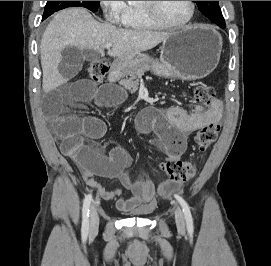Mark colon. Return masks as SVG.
Returning <instances> with one entry per match:
<instances>
[{
	"instance_id": "1",
	"label": "colon",
	"mask_w": 271,
	"mask_h": 266,
	"mask_svg": "<svg viewBox=\"0 0 271 266\" xmlns=\"http://www.w3.org/2000/svg\"><path fill=\"white\" fill-rule=\"evenodd\" d=\"M109 64L104 59L92 61L88 67L90 79L99 83L108 72ZM196 103L211 106L215 100V90L207 84H200L194 90ZM221 130L220 121H211L203 126L195 136L198 151L203 152L218 138ZM161 171L173 181H187L195 174V165L190 161L171 159L160 164Z\"/></svg>"
}]
</instances>
